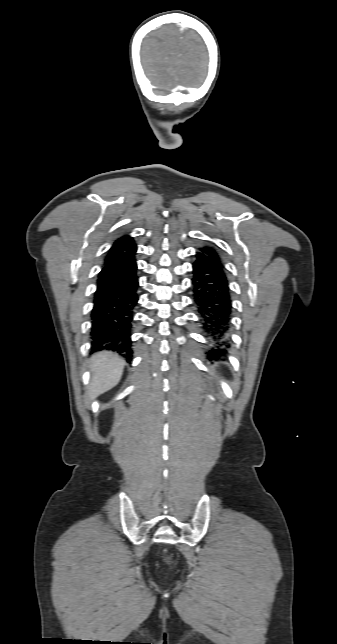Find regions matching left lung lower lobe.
<instances>
[{"instance_id": "0a47b994", "label": "left lung lower lobe", "mask_w": 337, "mask_h": 644, "mask_svg": "<svg viewBox=\"0 0 337 644\" xmlns=\"http://www.w3.org/2000/svg\"><path fill=\"white\" fill-rule=\"evenodd\" d=\"M193 302L203 329L217 344L211 349L209 358L220 355L219 347L227 343L232 317V300L229 281L223 264L205 253L197 252L193 263Z\"/></svg>"}]
</instances>
